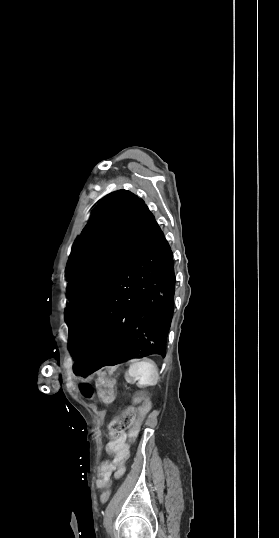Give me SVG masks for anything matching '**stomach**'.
<instances>
[{"instance_id": "obj_1", "label": "stomach", "mask_w": 279, "mask_h": 538, "mask_svg": "<svg viewBox=\"0 0 279 538\" xmlns=\"http://www.w3.org/2000/svg\"><path fill=\"white\" fill-rule=\"evenodd\" d=\"M103 375L104 376H109L110 375V370L109 369H104L103 370ZM98 393L100 395V399L101 401L104 402L105 405L107 406H111L114 404V402L116 401L117 399V392L115 389V386L114 384H112L109 380H101L99 382V386H98Z\"/></svg>"}]
</instances>
